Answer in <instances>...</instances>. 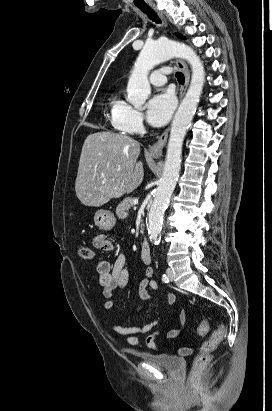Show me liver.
<instances>
[{
  "label": "liver",
  "mask_w": 272,
  "mask_h": 411,
  "mask_svg": "<svg viewBox=\"0 0 272 411\" xmlns=\"http://www.w3.org/2000/svg\"><path fill=\"white\" fill-rule=\"evenodd\" d=\"M139 154V142L129 136L112 132L90 134L82 147L75 182L81 203L100 207L134 191L144 177L143 163L137 161Z\"/></svg>",
  "instance_id": "1"
}]
</instances>
